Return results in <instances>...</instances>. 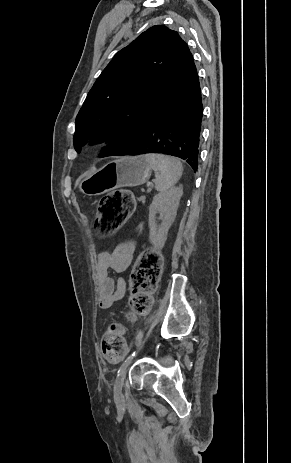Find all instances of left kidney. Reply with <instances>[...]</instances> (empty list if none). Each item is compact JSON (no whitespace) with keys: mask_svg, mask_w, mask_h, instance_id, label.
Instances as JSON below:
<instances>
[{"mask_svg":"<svg viewBox=\"0 0 291 463\" xmlns=\"http://www.w3.org/2000/svg\"><path fill=\"white\" fill-rule=\"evenodd\" d=\"M182 195L183 188L178 186L171 187L153 197L149 207V239L158 250H161L165 245L169 228L175 221ZM157 214H159L158 218ZM156 219L161 220L160 225L157 224Z\"/></svg>","mask_w":291,"mask_h":463,"instance_id":"obj_1","label":"left kidney"}]
</instances>
